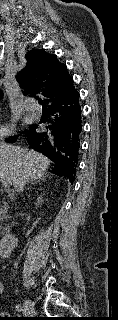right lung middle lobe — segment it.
<instances>
[{
  "mask_svg": "<svg viewBox=\"0 0 118 320\" xmlns=\"http://www.w3.org/2000/svg\"><path fill=\"white\" fill-rule=\"evenodd\" d=\"M34 128H35V125L31 126V127L29 128V129H30L29 133H30L31 131H33V130H34ZM11 141H14V138H13V139H11Z\"/></svg>",
  "mask_w": 118,
  "mask_h": 320,
  "instance_id": "right-lung-middle-lobe-1",
  "label": "right lung middle lobe"
}]
</instances>
